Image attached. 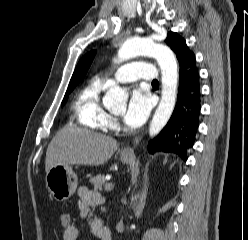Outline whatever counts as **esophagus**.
Instances as JSON below:
<instances>
[{
    "instance_id": "1",
    "label": "esophagus",
    "mask_w": 248,
    "mask_h": 240,
    "mask_svg": "<svg viewBox=\"0 0 248 240\" xmlns=\"http://www.w3.org/2000/svg\"><path fill=\"white\" fill-rule=\"evenodd\" d=\"M139 140H140V136L135 137V139L133 140V146L136 145V144H138L139 143ZM133 146L125 147L122 150V154H133Z\"/></svg>"
}]
</instances>
